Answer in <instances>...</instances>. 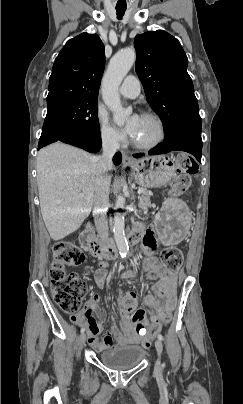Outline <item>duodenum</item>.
<instances>
[{
	"label": "duodenum",
	"instance_id": "1",
	"mask_svg": "<svg viewBox=\"0 0 243 404\" xmlns=\"http://www.w3.org/2000/svg\"><path fill=\"white\" fill-rule=\"evenodd\" d=\"M141 233L139 230L134 229L128 234V242L130 245H135ZM80 242L82 247L92 256L99 259L112 260L117 258L118 252L113 243H105L98 240L91 228H85L80 235Z\"/></svg>",
	"mask_w": 243,
	"mask_h": 404
}]
</instances>
